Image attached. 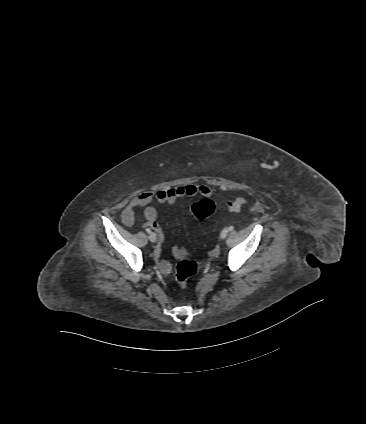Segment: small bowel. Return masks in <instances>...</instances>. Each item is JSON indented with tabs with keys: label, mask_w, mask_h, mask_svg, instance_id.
Returning <instances> with one entry per match:
<instances>
[{
	"label": "small bowel",
	"mask_w": 366,
	"mask_h": 424,
	"mask_svg": "<svg viewBox=\"0 0 366 424\" xmlns=\"http://www.w3.org/2000/svg\"><path fill=\"white\" fill-rule=\"evenodd\" d=\"M212 193L213 190L209 186L196 184L181 185L157 191L143 192L134 197L125 206L121 213L122 222L125 226L131 227L137 218L136 209L143 208V226L151 227L159 236V245L154 250V255L158 257L161 252V244L164 241V234L162 228L156 223L158 213L151 203L153 201H157L158 203L173 204L180 198L194 196L210 197ZM159 268L163 273H168L171 266L169 262L162 261L159 264Z\"/></svg>",
	"instance_id": "obj_1"
}]
</instances>
